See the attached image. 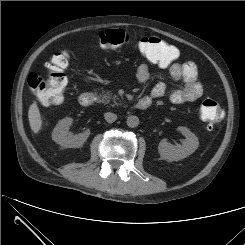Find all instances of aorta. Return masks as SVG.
<instances>
[{"mask_svg": "<svg viewBox=\"0 0 245 245\" xmlns=\"http://www.w3.org/2000/svg\"><path fill=\"white\" fill-rule=\"evenodd\" d=\"M126 123L128 127L135 128L139 125V118L137 116L131 115L127 118Z\"/></svg>", "mask_w": 245, "mask_h": 245, "instance_id": "762f6f07", "label": "aorta"}]
</instances>
